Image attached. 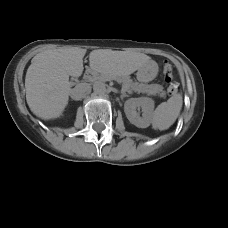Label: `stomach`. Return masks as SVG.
<instances>
[{
    "instance_id": "obj_1",
    "label": "stomach",
    "mask_w": 228,
    "mask_h": 228,
    "mask_svg": "<svg viewBox=\"0 0 228 228\" xmlns=\"http://www.w3.org/2000/svg\"><path fill=\"white\" fill-rule=\"evenodd\" d=\"M157 75V66L153 63H149L143 68H140L137 72V79L140 82L148 83L152 81Z\"/></svg>"
}]
</instances>
